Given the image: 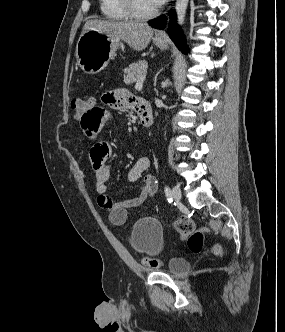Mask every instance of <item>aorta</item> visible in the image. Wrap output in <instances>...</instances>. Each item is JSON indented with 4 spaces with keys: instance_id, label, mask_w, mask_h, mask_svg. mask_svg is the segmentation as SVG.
<instances>
[{
    "instance_id": "obj_1",
    "label": "aorta",
    "mask_w": 285,
    "mask_h": 332,
    "mask_svg": "<svg viewBox=\"0 0 285 332\" xmlns=\"http://www.w3.org/2000/svg\"><path fill=\"white\" fill-rule=\"evenodd\" d=\"M188 6V0H176V14L179 25H183L186 11Z\"/></svg>"
}]
</instances>
